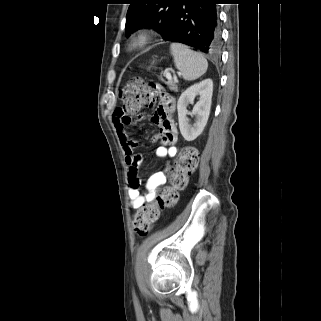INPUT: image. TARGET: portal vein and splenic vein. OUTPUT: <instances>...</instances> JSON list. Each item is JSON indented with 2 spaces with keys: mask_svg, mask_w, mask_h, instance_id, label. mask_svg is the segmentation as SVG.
<instances>
[{
  "mask_svg": "<svg viewBox=\"0 0 321 321\" xmlns=\"http://www.w3.org/2000/svg\"><path fill=\"white\" fill-rule=\"evenodd\" d=\"M178 75H181V74L178 73ZM165 77H166L168 80H171V79H172L171 74H170L168 71L165 72Z\"/></svg>",
  "mask_w": 321,
  "mask_h": 321,
  "instance_id": "obj_1",
  "label": "portal vein and splenic vein"
}]
</instances>
